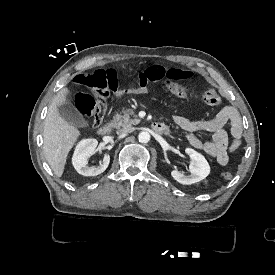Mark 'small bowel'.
<instances>
[{
  "label": "small bowel",
  "mask_w": 275,
  "mask_h": 275,
  "mask_svg": "<svg viewBox=\"0 0 275 275\" xmlns=\"http://www.w3.org/2000/svg\"><path fill=\"white\" fill-rule=\"evenodd\" d=\"M105 78L109 88L108 94L112 98H120L126 95H141L150 89L152 80H159L162 75L166 81L187 82L193 78V71L190 68H166L163 73L159 67L145 68L141 72V80L138 85L130 84L127 88L123 87L120 75L115 68H108L105 71ZM175 124L187 133L189 144L198 150L205 152L216 162L225 166L229 163L230 153L236 151L241 145L242 122L238 110L233 106H226L210 120L192 121L182 115L173 116ZM230 124L232 139L229 140L223 127ZM198 132L212 133V139L203 141L197 137Z\"/></svg>",
  "instance_id": "c3829d8e"
}]
</instances>
